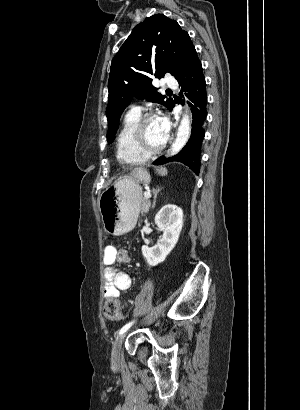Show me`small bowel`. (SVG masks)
Here are the masks:
<instances>
[{"mask_svg":"<svg viewBox=\"0 0 300 410\" xmlns=\"http://www.w3.org/2000/svg\"><path fill=\"white\" fill-rule=\"evenodd\" d=\"M115 252L116 247L114 245H107L103 253V263H104V293L105 296L115 297L121 291H126L132 286L131 277L122 271H119L115 266Z\"/></svg>","mask_w":300,"mask_h":410,"instance_id":"c3829d8e","label":"small bowel"}]
</instances>
